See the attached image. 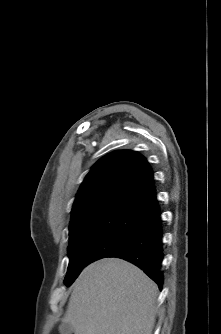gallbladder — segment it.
Masks as SVG:
<instances>
[{"label": "gallbladder", "mask_w": 221, "mask_h": 334, "mask_svg": "<svg viewBox=\"0 0 221 334\" xmlns=\"http://www.w3.org/2000/svg\"><path fill=\"white\" fill-rule=\"evenodd\" d=\"M59 332H60V334H72L73 328L69 323L63 322L59 326Z\"/></svg>", "instance_id": "bac80fb5"}]
</instances>
